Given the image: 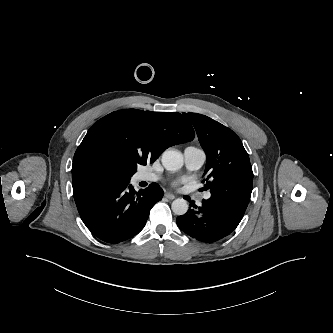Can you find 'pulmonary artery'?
<instances>
[{"label":"pulmonary artery","instance_id":"pulmonary-artery-1","mask_svg":"<svg viewBox=\"0 0 333 333\" xmlns=\"http://www.w3.org/2000/svg\"><path fill=\"white\" fill-rule=\"evenodd\" d=\"M184 160H185V164L186 167L189 170H198L202 167V165L204 164L205 160H206V155L205 152L197 147H187L184 150ZM159 175L152 173V172H140L137 174L136 176V180L141 182H155L159 179ZM210 193H206L204 195L205 199H209L210 198Z\"/></svg>","mask_w":333,"mask_h":333}]
</instances>
